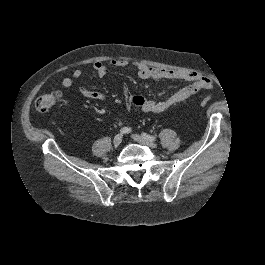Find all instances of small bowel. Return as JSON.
I'll use <instances>...</instances> for the list:
<instances>
[{
  "mask_svg": "<svg viewBox=\"0 0 265 265\" xmlns=\"http://www.w3.org/2000/svg\"><path fill=\"white\" fill-rule=\"evenodd\" d=\"M109 67H133L137 70V75L141 79H173L185 80L190 82L188 85L176 91L171 96L163 100L148 99L142 95H134L125 86L123 89L126 106L129 110L141 109L146 113L158 114L162 113L169 108L187 100L191 96L197 94L201 90L209 89L212 82L209 78L192 71L177 70V69H162L152 67L141 62H134L129 60H113L108 64L102 62H95L93 64L94 71L99 77L106 75ZM82 75L80 69H76L72 73L74 79ZM73 85V79L66 77L62 80V86L69 88ZM80 93L92 100L106 102L107 97L98 91L90 90L85 86H80Z\"/></svg>",
  "mask_w": 265,
  "mask_h": 265,
  "instance_id": "obj_1",
  "label": "small bowel"
}]
</instances>
